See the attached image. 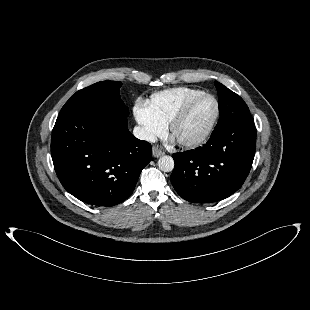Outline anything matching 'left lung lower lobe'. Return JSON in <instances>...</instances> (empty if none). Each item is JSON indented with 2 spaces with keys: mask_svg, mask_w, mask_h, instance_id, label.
Returning a JSON list of instances; mask_svg holds the SVG:
<instances>
[{
  "mask_svg": "<svg viewBox=\"0 0 310 310\" xmlns=\"http://www.w3.org/2000/svg\"><path fill=\"white\" fill-rule=\"evenodd\" d=\"M255 144L256 131L250 114L214 130L203 147L173 154V187L182 198L194 203L229 197L248 176Z\"/></svg>",
  "mask_w": 310,
  "mask_h": 310,
  "instance_id": "left-lung-lower-lobe-1",
  "label": "left lung lower lobe"
}]
</instances>
